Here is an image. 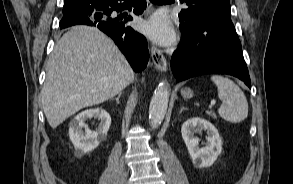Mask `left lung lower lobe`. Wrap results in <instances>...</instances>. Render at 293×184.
<instances>
[{
    "label": "left lung lower lobe",
    "mask_w": 293,
    "mask_h": 184,
    "mask_svg": "<svg viewBox=\"0 0 293 184\" xmlns=\"http://www.w3.org/2000/svg\"><path fill=\"white\" fill-rule=\"evenodd\" d=\"M182 10V39L171 68L178 81L208 73L233 75L251 88L241 43L230 15L211 8Z\"/></svg>",
    "instance_id": "1"
}]
</instances>
